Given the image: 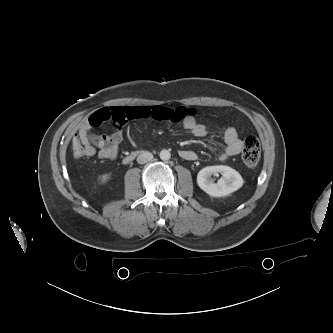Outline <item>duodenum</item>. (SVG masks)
<instances>
[{"mask_svg": "<svg viewBox=\"0 0 333 333\" xmlns=\"http://www.w3.org/2000/svg\"><path fill=\"white\" fill-rule=\"evenodd\" d=\"M140 153L141 151H132L124 158V164H129L130 162H132Z\"/></svg>", "mask_w": 333, "mask_h": 333, "instance_id": "1", "label": "duodenum"}]
</instances>
